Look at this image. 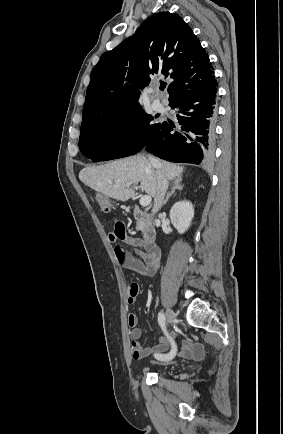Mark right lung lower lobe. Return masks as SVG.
I'll use <instances>...</instances> for the list:
<instances>
[{
	"label": "right lung lower lobe",
	"mask_w": 283,
	"mask_h": 434,
	"mask_svg": "<svg viewBox=\"0 0 283 434\" xmlns=\"http://www.w3.org/2000/svg\"><path fill=\"white\" fill-rule=\"evenodd\" d=\"M216 93L214 79L198 91L169 102L171 108L176 109L179 125L163 122L142 149L172 162L200 164L208 161L214 143Z\"/></svg>",
	"instance_id": "98d812e1"
}]
</instances>
